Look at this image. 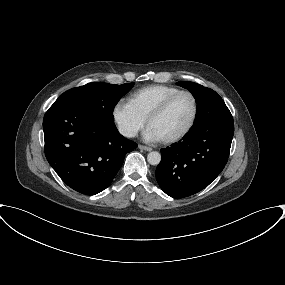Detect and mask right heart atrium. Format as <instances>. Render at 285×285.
<instances>
[{"mask_svg":"<svg viewBox=\"0 0 285 285\" xmlns=\"http://www.w3.org/2000/svg\"><path fill=\"white\" fill-rule=\"evenodd\" d=\"M112 117L118 131L127 138L135 137L145 125V120L126 101L114 105Z\"/></svg>","mask_w":285,"mask_h":285,"instance_id":"right-heart-atrium-1","label":"right heart atrium"}]
</instances>
